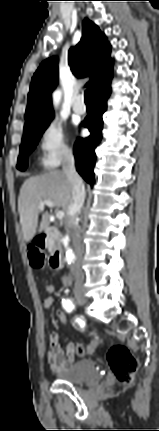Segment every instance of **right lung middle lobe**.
I'll use <instances>...</instances> for the list:
<instances>
[{"instance_id":"obj_1","label":"right lung middle lobe","mask_w":159,"mask_h":431,"mask_svg":"<svg viewBox=\"0 0 159 431\" xmlns=\"http://www.w3.org/2000/svg\"><path fill=\"white\" fill-rule=\"evenodd\" d=\"M52 119L53 118H50L39 125L24 131L17 163V168L19 170L24 171L27 168V156L34 150L40 137L49 126Z\"/></svg>"}]
</instances>
